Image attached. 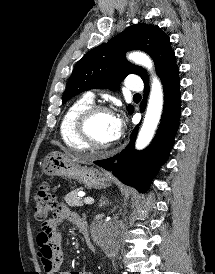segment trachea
<instances>
[{
    "instance_id": "3493384b",
    "label": "trachea",
    "mask_w": 215,
    "mask_h": 274,
    "mask_svg": "<svg viewBox=\"0 0 215 274\" xmlns=\"http://www.w3.org/2000/svg\"><path fill=\"white\" fill-rule=\"evenodd\" d=\"M134 97H135V98L141 97V95H140V94H135Z\"/></svg>"
}]
</instances>
